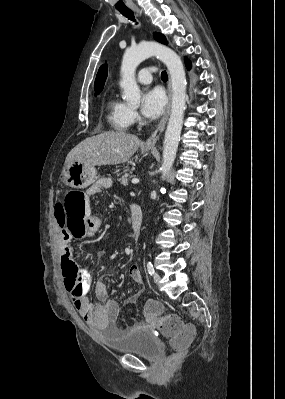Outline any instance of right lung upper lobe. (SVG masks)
<instances>
[{
	"label": "right lung upper lobe",
	"mask_w": 285,
	"mask_h": 399,
	"mask_svg": "<svg viewBox=\"0 0 285 399\" xmlns=\"http://www.w3.org/2000/svg\"><path fill=\"white\" fill-rule=\"evenodd\" d=\"M107 68H108L107 65H102L97 73L94 84V90L97 94H99L104 87V83L107 78Z\"/></svg>",
	"instance_id": "right-lung-upper-lobe-1"
}]
</instances>
